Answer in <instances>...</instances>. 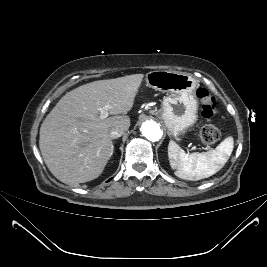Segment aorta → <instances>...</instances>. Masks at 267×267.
<instances>
[{
	"label": "aorta",
	"mask_w": 267,
	"mask_h": 267,
	"mask_svg": "<svg viewBox=\"0 0 267 267\" xmlns=\"http://www.w3.org/2000/svg\"><path fill=\"white\" fill-rule=\"evenodd\" d=\"M141 132L143 136L149 141H158L162 136V131L157 122L153 120H146L141 125Z\"/></svg>",
	"instance_id": "aorta-1"
}]
</instances>
